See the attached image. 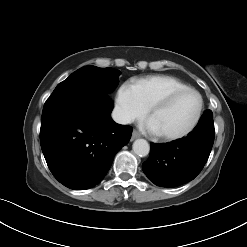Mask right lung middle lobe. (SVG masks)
Wrapping results in <instances>:
<instances>
[{"label":"right lung middle lobe","mask_w":247,"mask_h":247,"mask_svg":"<svg viewBox=\"0 0 247 247\" xmlns=\"http://www.w3.org/2000/svg\"><path fill=\"white\" fill-rule=\"evenodd\" d=\"M119 70L86 66L59 83L51 96L71 92H99L108 94L118 85Z\"/></svg>","instance_id":"1"}]
</instances>
